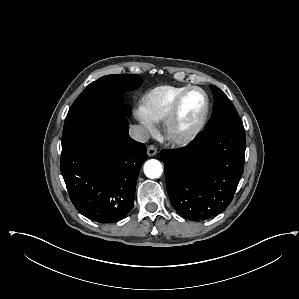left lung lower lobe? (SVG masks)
Masks as SVG:
<instances>
[{"instance_id":"1","label":"left lung lower lobe","mask_w":299,"mask_h":299,"mask_svg":"<svg viewBox=\"0 0 299 299\" xmlns=\"http://www.w3.org/2000/svg\"><path fill=\"white\" fill-rule=\"evenodd\" d=\"M244 129H205L187 146L162 150L166 186L178 213L190 220L210 218L230 204L243 174Z\"/></svg>"}]
</instances>
